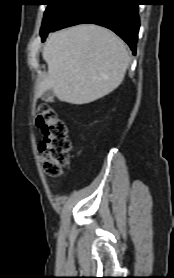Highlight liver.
I'll use <instances>...</instances> for the list:
<instances>
[{
	"instance_id": "obj_1",
	"label": "liver",
	"mask_w": 174,
	"mask_h": 278,
	"mask_svg": "<svg viewBox=\"0 0 174 278\" xmlns=\"http://www.w3.org/2000/svg\"><path fill=\"white\" fill-rule=\"evenodd\" d=\"M42 57L48 75L38 84L36 96L51 89L60 101L77 105L114 91L130 62L125 43L97 25H77L51 34Z\"/></svg>"
}]
</instances>
